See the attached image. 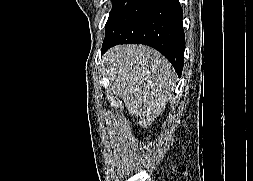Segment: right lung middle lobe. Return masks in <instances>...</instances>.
I'll use <instances>...</instances> for the list:
<instances>
[{
  "mask_svg": "<svg viewBox=\"0 0 253 181\" xmlns=\"http://www.w3.org/2000/svg\"><path fill=\"white\" fill-rule=\"evenodd\" d=\"M135 0H112L113 7L105 25L107 30L134 2Z\"/></svg>",
  "mask_w": 253,
  "mask_h": 181,
  "instance_id": "right-lung-middle-lobe-1",
  "label": "right lung middle lobe"
}]
</instances>
